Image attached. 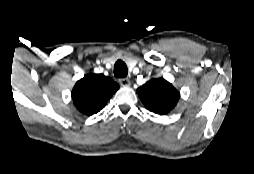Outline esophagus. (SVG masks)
Masks as SVG:
<instances>
[{
  "label": "esophagus",
  "instance_id": "obj_1",
  "mask_svg": "<svg viewBox=\"0 0 254 174\" xmlns=\"http://www.w3.org/2000/svg\"><path fill=\"white\" fill-rule=\"evenodd\" d=\"M119 83L121 86L127 87L130 86L131 81L128 78H120Z\"/></svg>",
  "mask_w": 254,
  "mask_h": 174
}]
</instances>
